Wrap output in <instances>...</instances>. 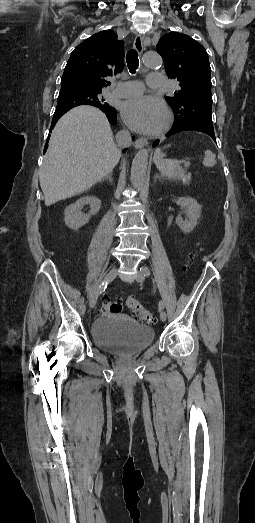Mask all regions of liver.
<instances>
[{"mask_svg":"<svg viewBox=\"0 0 255 523\" xmlns=\"http://www.w3.org/2000/svg\"><path fill=\"white\" fill-rule=\"evenodd\" d=\"M120 160L103 112L78 106L57 122L39 172L45 206L85 192L111 174Z\"/></svg>","mask_w":255,"mask_h":523,"instance_id":"6515ba94","label":"liver"}]
</instances>
